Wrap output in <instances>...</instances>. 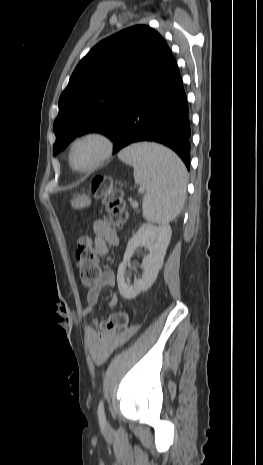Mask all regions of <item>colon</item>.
I'll return each instance as SVG.
<instances>
[{
    "label": "colon",
    "instance_id": "colon-1",
    "mask_svg": "<svg viewBox=\"0 0 263 465\" xmlns=\"http://www.w3.org/2000/svg\"><path fill=\"white\" fill-rule=\"evenodd\" d=\"M92 192L106 206L105 223L115 228L122 227L127 217L125 204L121 191L114 186L112 179L106 176L96 177L92 182ZM76 259L83 285L90 288L95 286L101 275V268L89 236H81L78 239ZM128 323L127 311H119L111 314L106 320L94 322L101 333L125 329Z\"/></svg>",
    "mask_w": 263,
    "mask_h": 465
}]
</instances>
